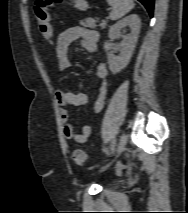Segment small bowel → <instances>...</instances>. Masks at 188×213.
Instances as JSON below:
<instances>
[{"label":"small bowel","mask_w":188,"mask_h":213,"mask_svg":"<svg viewBox=\"0 0 188 213\" xmlns=\"http://www.w3.org/2000/svg\"><path fill=\"white\" fill-rule=\"evenodd\" d=\"M80 40L83 48L89 53H94L98 46V34L91 29L81 26H74L63 31L56 43V58L59 69L65 71L70 67L68 59L69 47L75 41ZM95 73L99 80L94 102V111L101 112L104 108L107 94V67L104 63H97L95 66ZM55 98L60 105V117L63 124V134L67 140H72L78 143H85L92 133L90 125H84L81 132L75 131L74 127L69 121V112L67 106H80L87 102V98L82 93H77L69 90H57Z\"/></svg>","instance_id":"1"}]
</instances>
